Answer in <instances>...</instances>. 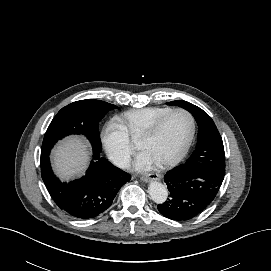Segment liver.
<instances>
[{"label": "liver", "instance_id": "liver-1", "mask_svg": "<svg viewBox=\"0 0 271 271\" xmlns=\"http://www.w3.org/2000/svg\"><path fill=\"white\" fill-rule=\"evenodd\" d=\"M92 150L87 141L70 137L54 150L53 166L57 175L69 180L85 172L91 159Z\"/></svg>", "mask_w": 271, "mask_h": 271}]
</instances>
